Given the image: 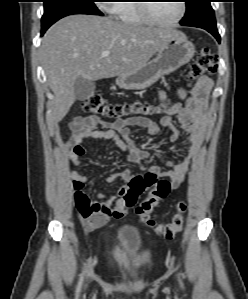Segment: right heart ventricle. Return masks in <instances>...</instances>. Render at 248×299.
<instances>
[{"label":"right heart ventricle","mask_w":248,"mask_h":299,"mask_svg":"<svg viewBox=\"0 0 248 299\" xmlns=\"http://www.w3.org/2000/svg\"><path fill=\"white\" fill-rule=\"evenodd\" d=\"M137 1L123 0L112 5V13L120 22L127 25L141 26L149 25L150 22L140 11Z\"/></svg>","instance_id":"1"}]
</instances>
